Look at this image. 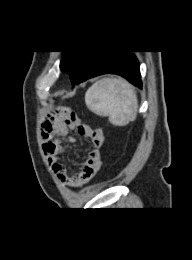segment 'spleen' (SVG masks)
I'll return each instance as SVG.
<instances>
[{"mask_svg":"<svg viewBox=\"0 0 192 260\" xmlns=\"http://www.w3.org/2000/svg\"><path fill=\"white\" fill-rule=\"evenodd\" d=\"M87 108L108 117L115 126H125L137 117L138 99L132 85L123 78H103L85 93Z\"/></svg>","mask_w":192,"mask_h":260,"instance_id":"1","label":"spleen"}]
</instances>
